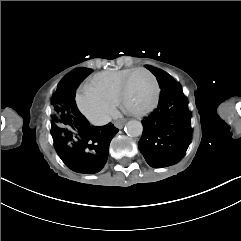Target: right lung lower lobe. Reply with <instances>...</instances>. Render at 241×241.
<instances>
[{
    "instance_id": "obj_1",
    "label": "right lung lower lobe",
    "mask_w": 241,
    "mask_h": 241,
    "mask_svg": "<svg viewBox=\"0 0 241 241\" xmlns=\"http://www.w3.org/2000/svg\"><path fill=\"white\" fill-rule=\"evenodd\" d=\"M89 74L88 69H80L65 78L70 93L65 97V102L74 132L68 136H53L54 147L65 165L77 173L86 174L97 173L103 168L108 158L110 142L119 131L111 123L101 127L90 126L78 110L75 90Z\"/></svg>"
}]
</instances>
